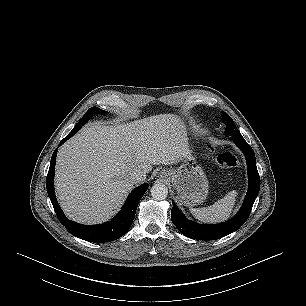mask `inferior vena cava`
I'll return each mask as SVG.
<instances>
[{
  "instance_id": "602c4592",
  "label": "inferior vena cava",
  "mask_w": 306,
  "mask_h": 306,
  "mask_svg": "<svg viewBox=\"0 0 306 306\" xmlns=\"http://www.w3.org/2000/svg\"><path fill=\"white\" fill-rule=\"evenodd\" d=\"M146 179V174L143 171L135 170L130 173L129 180L133 184L141 183Z\"/></svg>"
}]
</instances>
